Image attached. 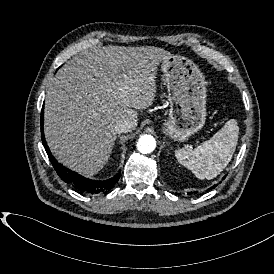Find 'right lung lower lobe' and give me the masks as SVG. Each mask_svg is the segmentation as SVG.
I'll return each instance as SVG.
<instances>
[{
    "label": "right lung lower lobe",
    "mask_w": 274,
    "mask_h": 274,
    "mask_svg": "<svg viewBox=\"0 0 274 274\" xmlns=\"http://www.w3.org/2000/svg\"><path fill=\"white\" fill-rule=\"evenodd\" d=\"M43 122H44V105L41 111V135H42V142L47 152V155L52 163L54 169L56 170L59 177L66 182L67 184L72 185L78 191L87 193V194H99V193H106L108 192L113 186L118 182L120 178V171L113 177L108 180L104 181H96L85 178L78 173L69 170L68 168L64 167L60 163L56 161L53 157L52 153L50 152L47 143L45 141L44 133H43Z\"/></svg>",
    "instance_id": "1"
}]
</instances>
